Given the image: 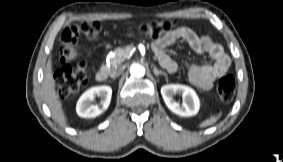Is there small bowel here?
<instances>
[{
    "instance_id": "obj_1",
    "label": "small bowel",
    "mask_w": 283,
    "mask_h": 162,
    "mask_svg": "<svg viewBox=\"0 0 283 162\" xmlns=\"http://www.w3.org/2000/svg\"><path fill=\"white\" fill-rule=\"evenodd\" d=\"M178 39L185 40L196 54L207 53L213 60V64L193 65L188 70L192 84L202 90L211 89L215 80L224 76L229 70L231 64L229 56L224 52L223 47L213 42L209 36H199L189 27H179L156 39L152 45L160 65L171 73L178 69V64L165 52V49Z\"/></svg>"
}]
</instances>
